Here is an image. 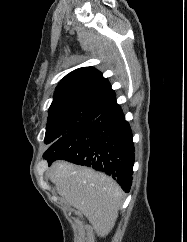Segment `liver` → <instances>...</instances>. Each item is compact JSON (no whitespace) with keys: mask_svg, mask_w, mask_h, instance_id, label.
I'll return each mask as SVG.
<instances>
[{"mask_svg":"<svg viewBox=\"0 0 187 242\" xmlns=\"http://www.w3.org/2000/svg\"><path fill=\"white\" fill-rule=\"evenodd\" d=\"M48 175L62 200L84 214L99 237L111 232L122 197L112 178L65 161L54 162Z\"/></svg>","mask_w":187,"mask_h":242,"instance_id":"6515ba94","label":"liver"}]
</instances>
